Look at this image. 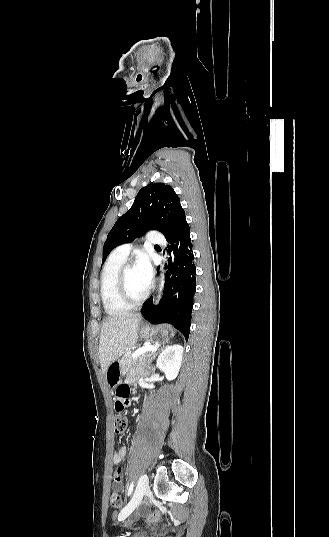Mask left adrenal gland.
<instances>
[{
  "label": "left adrenal gland",
  "instance_id": "1",
  "mask_svg": "<svg viewBox=\"0 0 329 537\" xmlns=\"http://www.w3.org/2000/svg\"><path fill=\"white\" fill-rule=\"evenodd\" d=\"M164 347V346H163ZM160 348L158 349V351L162 350L163 349ZM158 352H154L153 355L151 356V358L148 359V364L151 365L152 361L155 359L156 355H157ZM155 371V366H151V372Z\"/></svg>",
  "mask_w": 329,
  "mask_h": 537
}]
</instances>
